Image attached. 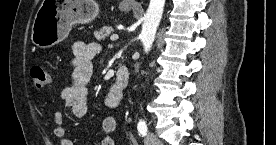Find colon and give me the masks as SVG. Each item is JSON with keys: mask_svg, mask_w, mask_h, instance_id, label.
<instances>
[{"mask_svg": "<svg viewBox=\"0 0 276 145\" xmlns=\"http://www.w3.org/2000/svg\"><path fill=\"white\" fill-rule=\"evenodd\" d=\"M33 87L37 90L44 89L50 84V76L42 66L35 65L30 70Z\"/></svg>", "mask_w": 276, "mask_h": 145, "instance_id": "obj_1", "label": "colon"}]
</instances>
